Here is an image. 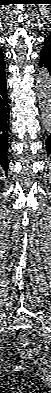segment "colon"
Listing matches in <instances>:
<instances>
[{"label":"colon","instance_id":"1","mask_svg":"<svg viewBox=\"0 0 51 393\" xmlns=\"http://www.w3.org/2000/svg\"><path fill=\"white\" fill-rule=\"evenodd\" d=\"M17 353L23 358H31L37 350L33 347L31 342L26 338H21L15 343Z\"/></svg>","mask_w":51,"mask_h":393}]
</instances>
